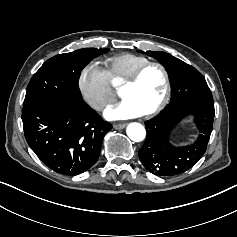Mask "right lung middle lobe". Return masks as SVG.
I'll list each match as a JSON object with an SVG mask.
<instances>
[{"mask_svg":"<svg viewBox=\"0 0 237 237\" xmlns=\"http://www.w3.org/2000/svg\"><path fill=\"white\" fill-rule=\"evenodd\" d=\"M108 50L84 48L48 59L28 84L23 110L51 100L82 98L78 88L81 70Z\"/></svg>","mask_w":237,"mask_h":237,"instance_id":"right-lung-middle-lobe-1","label":"right lung middle lobe"}]
</instances>
